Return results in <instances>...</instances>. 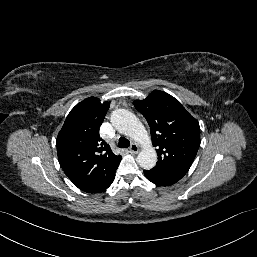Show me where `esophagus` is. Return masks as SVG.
Instances as JSON below:
<instances>
[{"label": "esophagus", "instance_id": "obj_1", "mask_svg": "<svg viewBox=\"0 0 257 257\" xmlns=\"http://www.w3.org/2000/svg\"><path fill=\"white\" fill-rule=\"evenodd\" d=\"M129 151L131 154H137L139 152V146L135 143H133L130 148Z\"/></svg>", "mask_w": 257, "mask_h": 257}]
</instances>
